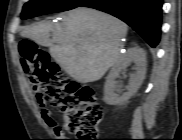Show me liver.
<instances>
[{
  "instance_id": "obj_1",
  "label": "liver",
  "mask_w": 182,
  "mask_h": 140,
  "mask_svg": "<svg viewBox=\"0 0 182 140\" xmlns=\"http://www.w3.org/2000/svg\"><path fill=\"white\" fill-rule=\"evenodd\" d=\"M128 27L119 19L95 9L79 7L67 12L62 25L42 21L21 35L48 46L57 64L74 80L94 82L121 57V40ZM53 38L50 39V32Z\"/></svg>"
}]
</instances>
